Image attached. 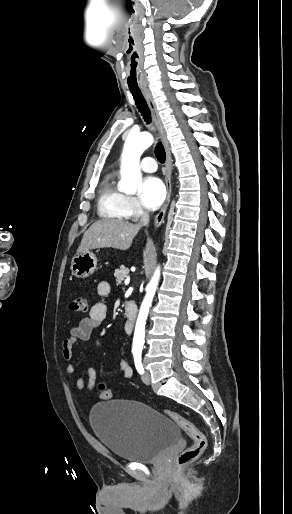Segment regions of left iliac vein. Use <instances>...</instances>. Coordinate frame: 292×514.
<instances>
[{"label": "left iliac vein", "instance_id": "left-iliac-vein-1", "mask_svg": "<svg viewBox=\"0 0 292 514\" xmlns=\"http://www.w3.org/2000/svg\"><path fill=\"white\" fill-rule=\"evenodd\" d=\"M142 381L143 383H145L146 385H149L150 382H151V376H150V372L149 371H145L142 375Z\"/></svg>", "mask_w": 292, "mask_h": 514}]
</instances>
